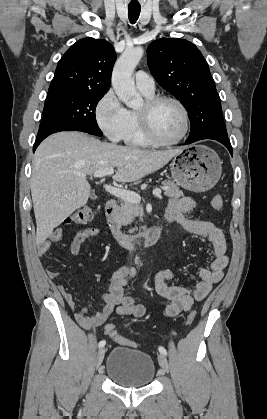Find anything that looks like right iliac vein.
<instances>
[{
    "instance_id": "obj_1",
    "label": "right iliac vein",
    "mask_w": 267,
    "mask_h": 419,
    "mask_svg": "<svg viewBox=\"0 0 267 419\" xmlns=\"http://www.w3.org/2000/svg\"><path fill=\"white\" fill-rule=\"evenodd\" d=\"M104 355H105V348H101L98 351V354H97V357H96V367L97 368L101 365V363L103 361V358H104Z\"/></svg>"
}]
</instances>
